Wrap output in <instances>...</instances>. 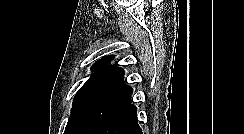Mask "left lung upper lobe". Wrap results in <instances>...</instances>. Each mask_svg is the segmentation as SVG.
I'll list each match as a JSON object with an SVG mask.
<instances>
[{"mask_svg": "<svg viewBox=\"0 0 244 134\" xmlns=\"http://www.w3.org/2000/svg\"><path fill=\"white\" fill-rule=\"evenodd\" d=\"M104 56L91 67L94 74L78 90L64 134H94L116 111L131 102L133 89L124 80V70L109 65Z\"/></svg>", "mask_w": 244, "mask_h": 134, "instance_id": "obj_1", "label": "left lung upper lobe"}]
</instances>
